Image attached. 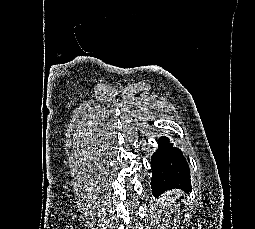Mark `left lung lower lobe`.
<instances>
[{"instance_id":"obj_1","label":"left lung lower lobe","mask_w":255,"mask_h":229,"mask_svg":"<svg viewBox=\"0 0 255 229\" xmlns=\"http://www.w3.org/2000/svg\"><path fill=\"white\" fill-rule=\"evenodd\" d=\"M153 195L159 196L174 188L191 191L189 166L179 148L167 137L159 139V148L151 157Z\"/></svg>"}]
</instances>
